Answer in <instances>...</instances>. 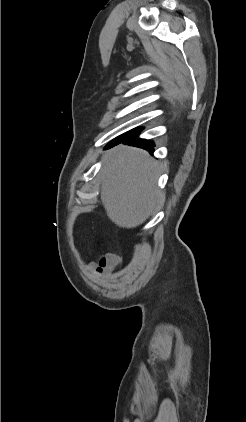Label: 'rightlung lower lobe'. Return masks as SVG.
I'll return each instance as SVG.
<instances>
[{"instance_id": "1", "label": "right lung lower lobe", "mask_w": 246, "mask_h": 422, "mask_svg": "<svg viewBox=\"0 0 246 422\" xmlns=\"http://www.w3.org/2000/svg\"><path fill=\"white\" fill-rule=\"evenodd\" d=\"M119 143H125V144L133 145V146H136V147H139V148H143V149L149 151L150 153H153L154 146H155L153 141L138 138V134H135V135L131 136L130 138H127L123 141H119V142L109 144L107 146V148L115 146Z\"/></svg>"}]
</instances>
